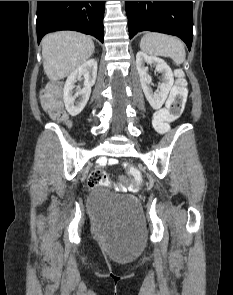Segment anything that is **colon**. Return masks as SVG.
I'll return each mask as SVG.
<instances>
[{
    "label": "colon",
    "instance_id": "5ec220e1",
    "mask_svg": "<svg viewBox=\"0 0 233 295\" xmlns=\"http://www.w3.org/2000/svg\"><path fill=\"white\" fill-rule=\"evenodd\" d=\"M61 85L59 83L49 84L42 93V104L49 116L55 120L66 122L67 114L60 100ZM188 96L187 81L182 72H177V79L173 85L166 106L158 110L154 115V125L160 133L169 131L170 124L182 113ZM125 167L131 177L139 183L141 174L139 170L126 163ZM88 185L93 187L108 185L107 174L100 170H93L88 178Z\"/></svg>",
    "mask_w": 233,
    "mask_h": 295
}]
</instances>
